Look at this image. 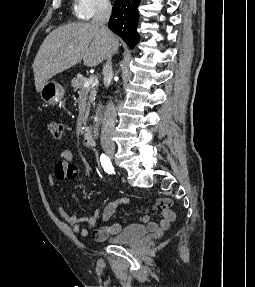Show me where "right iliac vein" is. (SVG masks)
<instances>
[{"mask_svg": "<svg viewBox=\"0 0 255 287\" xmlns=\"http://www.w3.org/2000/svg\"><path fill=\"white\" fill-rule=\"evenodd\" d=\"M105 153L107 154L108 157H110L111 159L114 158L115 155V149L113 147H106L104 149Z\"/></svg>", "mask_w": 255, "mask_h": 287, "instance_id": "1", "label": "right iliac vein"}]
</instances>
